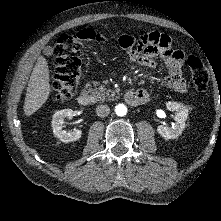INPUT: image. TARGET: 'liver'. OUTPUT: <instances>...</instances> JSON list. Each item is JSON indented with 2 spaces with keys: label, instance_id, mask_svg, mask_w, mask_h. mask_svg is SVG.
<instances>
[{
  "label": "liver",
  "instance_id": "liver-1",
  "mask_svg": "<svg viewBox=\"0 0 221 221\" xmlns=\"http://www.w3.org/2000/svg\"><path fill=\"white\" fill-rule=\"evenodd\" d=\"M50 91L48 63L43 56H39L28 83L24 114L30 116L40 109L47 101Z\"/></svg>",
  "mask_w": 221,
  "mask_h": 221
}]
</instances>
